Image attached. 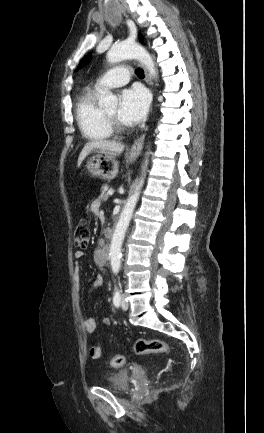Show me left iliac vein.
<instances>
[{
	"instance_id": "4c4485c4",
	"label": "left iliac vein",
	"mask_w": 264,
	"mask_h": 433,
	"mask_svg": "<svg viewBox=\"0 0 264 433\" xmlns=\"http://www.w3.org/2000/svg\"><path fill=\"white\" fill-rule=\"evenodd\" d=\"M121 307L123 310H127L129 307L124 294L121 296Z\"/></svg>"
}]
</instances>
